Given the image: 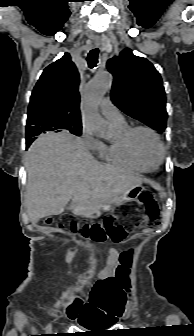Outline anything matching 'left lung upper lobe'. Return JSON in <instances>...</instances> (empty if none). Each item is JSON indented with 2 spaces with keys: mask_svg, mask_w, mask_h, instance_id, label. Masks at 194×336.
Masks as SVG:
<instances>
[{
  "mask_svg": "<svg viewBox=\"0 0 194 336\" xmlns=\"http://www.w3.org/2000/svg\"><path fill=\"white\" fill-rule=\"evenodd\" d=\"M113 74V103L127 115L162 133L166 129V99L159 72L130 49L107 62Z\"/></svg>",
  "mask_w": 194,
  "mask_h": 336,
  "instance_id": "5c2ea615",
  "label": "left lung upper lobe"
}]
</instances>
